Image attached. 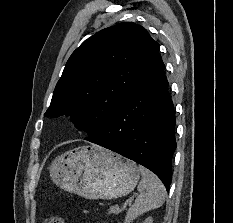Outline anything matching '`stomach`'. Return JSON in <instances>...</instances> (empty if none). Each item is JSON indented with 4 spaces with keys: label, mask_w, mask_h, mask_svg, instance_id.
I'll return each instance as SVG.
<instances>
[{
    "label": "stomach",
    "mask_w": 233,
    "mask_h": 223,
    "mask_svg": "<svg viewBox=\"0 0 233 223\" xmlns=\"http://www.w3.org/2000/svg\"><path fill=\"white\" fill-rule=\"evenodd\" d=\"M140 167L103 147H74L52 161L50 177L62 189L87 199H115L133 191Z\"/></svg>",
    "instance_id": "stomach-1"
}]
</instances>
